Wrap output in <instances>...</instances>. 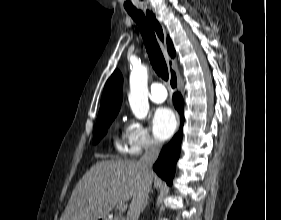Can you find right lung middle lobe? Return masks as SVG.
Masks as SVG:
<instances>
[{
	"label": "right lung middle lobe",
	"instance_id": "dd1d6c3e",
	"mask_svg": "<svg viewBox=\"0 0 281 220\" xmlns=\"http://www.w3.org/2000/svg\"><path fill=\"white\" fill-rule=\"evenodd\" d=\"M116 115L105 116L97 118V123L95 126L93 143L96 144L105 135L106 129L110 126Z\"/></svg>",
	"mask_w": 281,
	"mask_h": 220
}]
</instances>
